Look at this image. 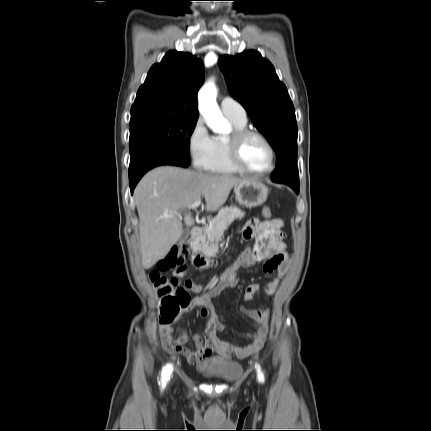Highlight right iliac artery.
<instances>
[{
	"label": "right iliac artery",
	"mask_w": 431,
	"mask_h": 431,
	"mask_svg": "<svg viewBox=\"0 0 431 431\" xmlns=\"http://www.w3.org/2000/svg\"><path fill=\"white\" fill-rule=\"evenodd\" d=\"M172 373V366L170 364L166 365L162 371V387L164 388L166 385V381L170 379V375Z\"/></svg>",
	"instance_id": "82829eb1"
}]
</instances>
